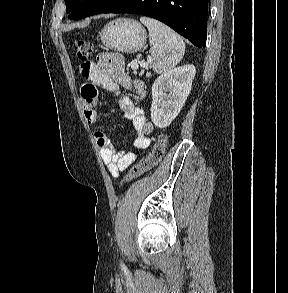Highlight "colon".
Segmentation results:
<instances>
[{
  "instance_id": "colon-1",
  "label": "colon",
  "mask_w": 288,
  "mask_h": 293,
  "mask_svg": "<svg viewBox=\"0 0 288 293\" xmlns=\"http://www.w3.org/2000/svg\"><path fill=\"white\" fill-rule=\"evenodd\" d=\"M74 45L77 58L83 62H87L94 53L93 44L85 39H76ZM166 147L167 136L165 134H160L152 152L132 167L130 172L124 177L120 186L123 187L125 184L153 169L164 156Z\"/></svg>"
}]
</instances>
